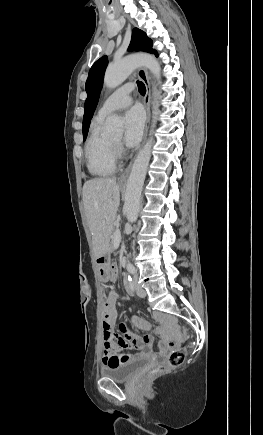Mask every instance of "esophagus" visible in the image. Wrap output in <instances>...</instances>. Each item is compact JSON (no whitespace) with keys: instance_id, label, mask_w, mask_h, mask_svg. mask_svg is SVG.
<instances>
[{"instance_id":"obj_1","label":"esophagus","mask_w":263,"mask_h":435,"mask_svg":"<svg viewBox=\"0 0 263 435\" xmlns=\"http://www.w3.org/2000/svg\"><path fill=\"white\" fill-rule=\"evenodd\" d=\"M137 76L143 81L145 87H146V94L144 96V105L147 112V122H146V129H145V136L144 140L146 139L147 131H148V124L150 121V107H151V80L148 74V71L141 67L136 71ZM134 159L129 163L127 168L124 170V172L120 175L119 180L124 181L128 178L130 171L133 166Z\"/></svg>"}]
</instances>
